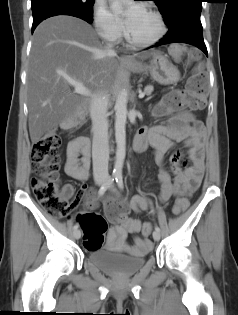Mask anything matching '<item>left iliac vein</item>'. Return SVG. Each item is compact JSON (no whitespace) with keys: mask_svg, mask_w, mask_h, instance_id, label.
Here are the masks:
<instances>
[{"mask_svg":"<svg viewBox=\"0 0 238 315\" xmlns=\"http://www.w3.org/2000/svg\"><path fill=\"white\" fill-rule=\"evenodd\" d=\"M160 237H161L160 232L155 230V231L153 232V239H154L155 241H159V240H160Z\"/></svg>","mask_w":238,"mask_h":315,"instance_id":"1","label":"left iliac vein"}]
</instances>
